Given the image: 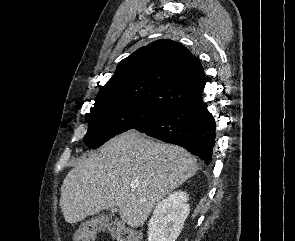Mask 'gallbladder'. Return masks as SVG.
Instances as JSON below:
<instances>
[{
  "mask_svg": "<svg viewBox=\"0 0 295 241\" xmlns=\"http://www.w3.org/2000/svg\"><path fill=\"white\" fill-rule=\"evenodd\" d=\"M117 209L116 208H112L111 209V212H115Z\"/></svg>",
  "mask_w": 295,
  "mask_h": 241,
  "instance_id": "bac80fb5",
  "label": "gallbladder"
}]
</instances>
